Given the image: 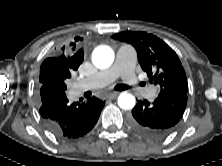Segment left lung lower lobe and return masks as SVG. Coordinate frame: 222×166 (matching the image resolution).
Wrapping results in <instances>:
<instances>
[{
	"label": "left lung lower lobe",
	"instance_id": "1",
	"mask_svg": "<svg viewBox=\"0 0 222 166\" xmlns=\"http://www.w3.org/2000/svg\"><path fill=\"white\" fill-rule=\"evenodd\" d=\"M187 92L179 89L161 90L153 103L138 101L132 110L130 125L134 131L148 138H162L170 134L183 115Z\"/></svg>",
	"mask_w": 222,
	"mask_h": 166
}]
</instances>
